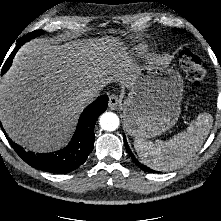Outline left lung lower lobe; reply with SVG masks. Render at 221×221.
I'll list each match as a JSON object with an SVG mask.
<instances>
[{
  "label": "left lung lower lobe",
  "mask_w": 221,
  "mask_h": 221,
  "mask_svg": "<svg viewBox=\"0 0 221 221\" xmlns=\"http://www.w3.org/2000/svg\"><path fill=\"white\" fill-rule=\"evenodd\" d=\"M124 143H125V147H126L127 152L130 154V156H131L133 162H134L138 167H140L142 170H144V171H146V172H151V171L154 172L153 170L149 169L148 167H146V166L140 164V163L135 159V157H134L133 154L131 153V150H130L128 144H127V141H126L125 136H124Z\"/></svg>",
  "instance_id": "1"
}]
</instances>
